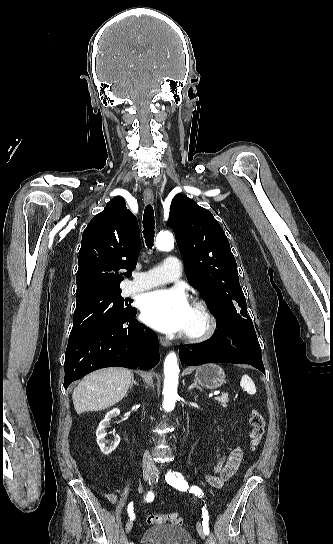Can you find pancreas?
I'll return each instance as SVG.
<instances>
[{
  "instance_id": "pancreas-1",
  "label": "pancreas",
  "mask_w": 333,
  "mask_h": 544,
  "mask_svg": "<svg viewBox=\"0 0 333 544\" xmlns=\"http://www.w3.org/2000/svg\"><path fill=\"white\" fill-rule=\"evenodd\" d=\"M216 400L223 406L226 407L227 402L229 401L227 394H222L221 396L217 397Z\"/></svg>"
}]
</instances>
